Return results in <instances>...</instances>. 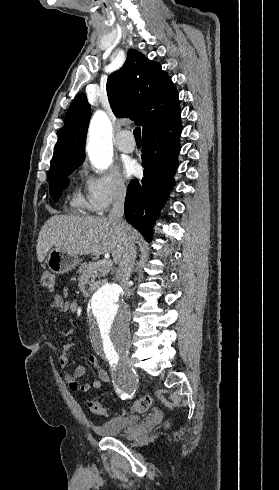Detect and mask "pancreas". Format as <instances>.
I'll list each match as a JSON object with an SVG mask.
<instances>
[{
	"label": "pancreas",
	"instance_id": "cf45deb5",
	"mask_svg": "<svg viewBox=\"0 0 279 490\" xmlns=\"http://www.w3.org/2000/svg\"><path fill=\"white\" fill-rule=\"evenodd\" d=\"M109 270H112V266H108L106 264H94V262H89V264H80V268L77 270V274H81V276H86V278H91V280H95V278H102V276H107Z\"/></svg>",
	"mask_w": 279,
	"mask_h": 490
}]
</instances>
